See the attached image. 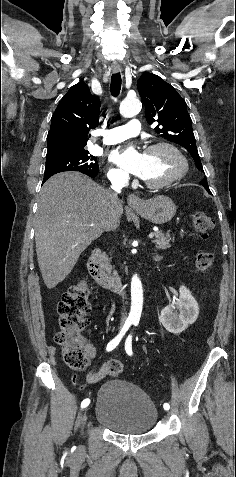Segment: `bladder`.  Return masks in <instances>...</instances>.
I'll return each mask as SVG.
<instances>
[{
    "mask_svg": "<svg viewBox=\"0 0 236 477\" xmlns=\"http://www.w3.org/2000/svg\"><path fill=\"white\" fill-rule=\"evenodd\" d=\"M95 417L111 432L136 436L154 428L158 410L140 387L121 379H109L96 395Z\"/></svg>",
    "mask_w": 236,
    "mask_h": 477,
    "instance_id": "1",
    "label": "bladder"
}]
</instances>
